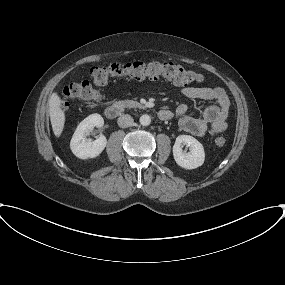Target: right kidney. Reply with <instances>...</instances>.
I'll use <instances>...</instances> for the list:
<instances>
[{
    "mask_svg": "<svg viewBox=\"0 0 285 285\" xmlns=\"http://www.w3.org/2000/svg\"><path fill=\"white\" fill-rule=\"evenodd\" d=\"M104 119L100 114H91L80 122L74 132L70 148L73 154L80 159L95 158L99 156L107 144V139L104 135H100L95 141L87 139L92 128L102 127Z\"/></svg>",
    "mask_w": 285,
    "mask_h": 285,
    "instance_id": "right-kidney-1",
    "label": "right kidney"
}]
</instances>
